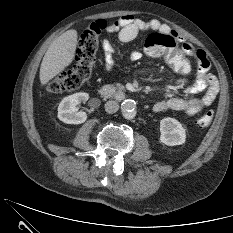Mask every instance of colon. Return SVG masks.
Segmentation results:
<instances>
[{
	"mask_svg": "<svg viewBox=\"0 0 233 233\" xmlns=\"http://www.w3.org/2000/svg\"><path fill=\"white\" fill-rule=\"evenodd\" d=\"M106 29V21L97 20L83 31L78 43L75 65L50 80L46 85L48 92L74 91L90 80L97 57L99 35ZM144 49L149 56L163 58L176 73L186 74L191 70L189 57L184 54L177 38L172 34L162 32L150 34L144 43ZM213 117V111L209 110L198 118L197 125L200 128L207 127Z\"/></svg>",
	"mask_w": 233,
	"mask_h": 233,
	"instance_id": "5ec220e1",
	"label": "colon"
}]
</instances>
